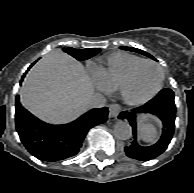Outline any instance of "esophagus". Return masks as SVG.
Wrapping results in <instances>:
<instances>
[{
	"label": "esophagus",
	"instance_id": "34e87169",
	"mask_svg": "<svg viewBox=\"0 0 194 193\" xmlns=\"http://www.w3.org/2000/svg\"><path fill=\"white\" fill-rule=\"evenodd\" d=\"M121 112V106L119 104H111L109 106V116L115 118Z\"/></svg>",
	"mask_w": 194,
	"mask_h": 193
}]
</instances>
